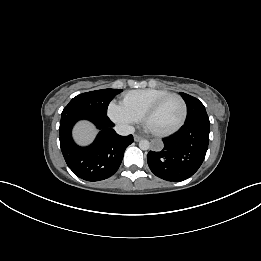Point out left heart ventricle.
I'll return each mask as SVG.
<instances>
[{
  "instance_id": "left-heart-ventricle-1",
  "label": "left heart ventricle",
  "mask_w": 261,
  "mask_h": 261,
  "mask_svg": "<svg viewBox=\"0 0 261 261\" xmlns=\"http://www.w3.org/2000/svg\"><path fill=\"white\" fill-rule=\"evenodd\" d=\"M181 115V103L176 98H170L149 118L148 126L156 131H166L179 122Z\"/></svg>"
}]
</instances>
